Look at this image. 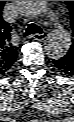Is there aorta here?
Segmentation results:
<instances>
[{
	"mask_svg": "<svg viewBox=\"0 0 74 122\" xmlns=\"http://www.w3.org/2000/svg\"><path fill=\"white\" fill-rule=\"evenodd\" d=\"M19 11L27 16H39L47 12L48 1H16ZM71 45L69 31L59 26L52 31L46 41L45 50L54 59H59L66 55Z\"/></svg>",
	"mask_w": 74,
	"mask_h": 122,
	"instance_id": "aorta-1",
	"label": "aorta"
}]
</instances>
